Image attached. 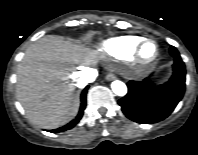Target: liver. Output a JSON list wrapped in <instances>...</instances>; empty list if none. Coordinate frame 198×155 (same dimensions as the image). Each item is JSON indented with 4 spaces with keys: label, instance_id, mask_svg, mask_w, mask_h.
Here are the masks:
<instances>
[{
    "label": "liver",
    "instance_id": "1",
    "mask_svg": "<svg viewBox=\"0 0 198 155\" xmlns=\"http://www.w3.org/2000/svg\"><path fill=\"white\" fill-rule=\"evenodd\" d=\"M91 64L87 51L60 39L32 46L17 69V97L30 119L46 128L69 121L77 112L78 93L68 82Z\"/></svg>",
    "mask_w": 198,
    "mask_h": 155
}]
</instances>
